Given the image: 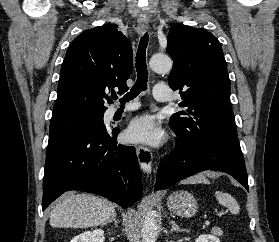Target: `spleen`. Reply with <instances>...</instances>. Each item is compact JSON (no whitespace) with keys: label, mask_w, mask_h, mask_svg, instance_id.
Masks as SVG:
<instances>
[{"label":"spleen","mask_w":279,"mask_h":242,"mask_svg":"<svg viewBox=\"0 0 279 242\" xmlns=\"http://www.w3.org/2000/svg\"><path fill=\"white\" fill-rule=\"evenodd\" d=\"M215 197L221 205L226 206L232 214L239 212V205L237 201L228 193L222 191H216Z\"/></svg>","instance_id":"spleen-1"}]
</instances>
